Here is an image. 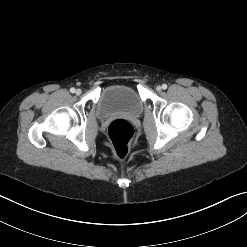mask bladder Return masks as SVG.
I'll use <instances>...</instances> for the list:
<instances>
[{"label":"bladder","mask_w":247,"mask_h":247,"mask_svg":"<svg viewBox=\"0 0 247 247\" xmlns=\"http://www.w3.org/2000/svg\"><path fill=\"white\" fill-rule=\"evenodd\" d=\"M143 102L138 92L129 85H111L101 94L98 111L101 116L113 114L137 115L142 111Z\"/></svg>","instance_id":"bladder-1"}]
</instances>
